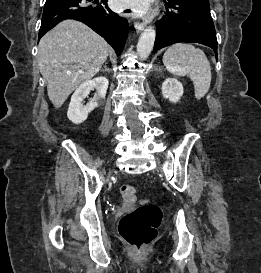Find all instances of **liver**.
<instances>
[{
    "instance_id": "liver-1",
    "label": "liver",
    "mask_w": 261,
    "mask_h": 273,
    "mask_svg": "<svg viewBox=\"0 0 261 273\" xmlns=\"http://www.w3.org/2000/svg\"><path fill=\"white\" fill-rule=\"evenodd\" d=\"M110 50L100 35L74 20L62 21L42 37L38 45L39 68L55 108L99 72Z\"/></svg>"
}]
</instances>
